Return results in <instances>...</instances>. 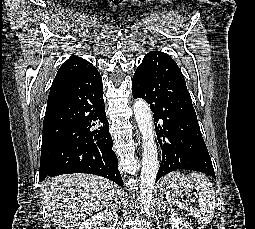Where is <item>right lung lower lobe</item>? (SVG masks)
I'll return each instance as SVG.
<instances>
[{
	"mask_svg": "<svg viewBox=\"0 0 255 229\" xmlns=\"http://www.w3.org/2000/svg\"><path fill=\"white\" fill-rule=\"evenodd\" d=\"M56 127L61 134L48 165L40 166V182L61 174L89 173L123 185L112 150L102 78L94 66L65 95L47 103L43 130Z\"/></svg>",
	"mask_w": 255,
	"mask_h": 229,
	"instance_id": "1",
	"label": "right lung lower lobe"
}]
</instances>
